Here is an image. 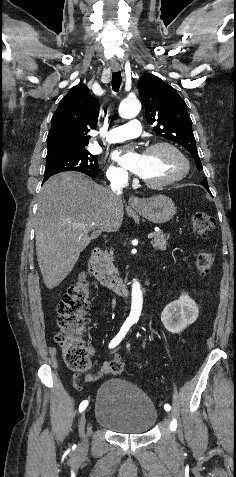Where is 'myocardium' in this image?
Returning a JSON list of instances; mask_svg holds the SVG:
<instances>
[{"label": "myocardium", "instance_id": "obj_1", "mask_svg": "<svg viewBox=\"0 0 236 477\" xmlns=\"http://www.w3.org/2000/svg\"><path fill=\"white\" fill-rule=\"evenodd\" d=\"M160 148H168L171 150L173 153H175L183 162V167L182 170L176 174L175 176L171 177L170 179H167L162 182H151L148 181L144 178L141 179L142 183L152 189H163L166 187H169L171 185L176 184L177 182L181 181L188 173L190 170V162L187 158V156L181 151L179 147H177L175 144L167 141H160V142H155L151 145H149L144 153H148L150 151L160 149Z\"/></svg>", "mask_w": 236, "mask_h": 477}]
</instances>
